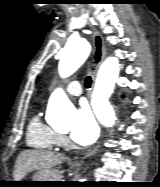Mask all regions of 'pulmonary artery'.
Listing matches in <instances>:
<instances>
[{
  "mask_svg": "<svg viewBox=\"0 0 160 187\" xmlns=\"http://www.w3.org/2000/svg\"><path fill=\"white\" fill-rule=\"evenodd\" d=\"M67 92L71 96L78 97L82 94L81 84L78 81H72L67 85Z\"/></svg>",
  "mask_w": 160,
  "mask_h": 187,
  "instance_id": "pulmonary-artery-1",
  "label": "pulmonary artery"
}]
</instances>
